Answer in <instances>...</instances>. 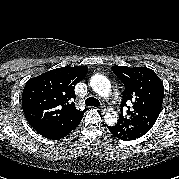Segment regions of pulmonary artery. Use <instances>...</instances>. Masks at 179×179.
<instances>
[{
    "label": "pulmonary artery",
    "mask_w": 179,
    "mask_h": 179,
    "mask_svg": "<svg viewBox=\"0 0 179 179\" xmlns=\"http://www.w3.org/2000/svg\"><path fill=\"white\" fill-rule=\"evenodd\" d=\"M112 104L114 105L115 109H118V104H119V94L117 92H112L110 95Z\"/></svg>",
    "instance_id": "1"
}]
</instances>
